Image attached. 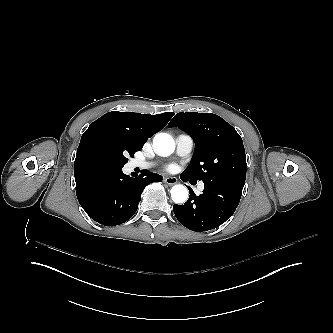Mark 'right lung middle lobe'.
<instances>
[{"label": "right lung middle lobe", "instance_id": "dd1d6c3e", "mask_svg": "<svg viewBox=\"0 0 333 333\" xmlns=\"http://www.w3.org/2000/svg\"><path fill=\"white\" fill-rule=\"evenodd\" d=\"M139 150L118 137L94 134L79 145L76 156L94 158L107 166L122 168L128 162L127 156L133 157Z\"/></svg>", "mask_w": 333, "mask_h": 333}]
</instances>
